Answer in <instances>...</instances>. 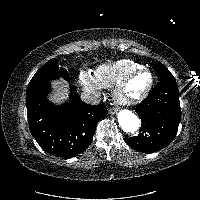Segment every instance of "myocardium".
<instances>
[{
  "instance_id": "f54148a6",
  "label": "myocardium",
  "mask_w": 200,
  "mask_h": 200,
  "mask_svg": "<svg viewBox=\"0 0 200 200\" xmlns=\"http://www.w3.org/2000/svg\"><path fill=\"white\" fill-rule=\"evenodd\" d=\"M145 72L149 75V83L146 87V89L143 91V93H141L139 96L137 97H133V98H129L127 96H125L124 94V90L127 86V84L129 83V81L135 77L137 74ZM153 84H154V77L152 72L145 68V67H141L138 68L134 71H132L131 73H129L123 80H121L114 88L113 90V98L114 101L122 106H134L137 105L141 102H143L148 95L150 94L152 88H153Z\"/></svg>"
}]
</instances>
